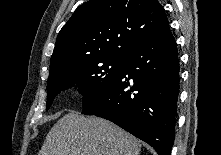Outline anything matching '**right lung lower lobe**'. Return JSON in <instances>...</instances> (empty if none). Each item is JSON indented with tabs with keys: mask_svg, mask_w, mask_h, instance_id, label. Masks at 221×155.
Segmentation results:
<instances>
[{
	"mask_svg": "<svg viewBox=\"0 0 221 155\" xmlns=\"http://www.w3.org/2000/svg\"><path fill=\"white\" fill-rule=\"evenodd\" d=\"M179 60L169 27L140 40L113 82L82 111L110 120L170 155L179 94Z\"/></svg>",
	"mask_w": 221,
	"mask_h": 155,
	"instance_id": "1",
	"label": "right lung lower lobe"
}]
</instances>
